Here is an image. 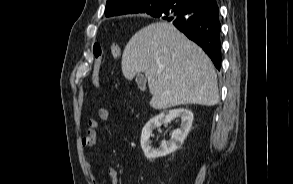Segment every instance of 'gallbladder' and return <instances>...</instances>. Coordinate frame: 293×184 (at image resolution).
Wrapping results in <instances>:
<instances>
[{"label":"gallbladder","instance_id":"gallbladder-1","mask_svg":"<svg viewBox=\"0 0 293 184\" xmlns=\"http://www.w3.org/2000/svg\"><path fill=\"white\" fill-rule=\"evenodd\" d=\"M145 81V77L142 74H138L136 77V82L142 84Z\"/></svg>","mask_w":293,"mask_h":184}]
</instances>
